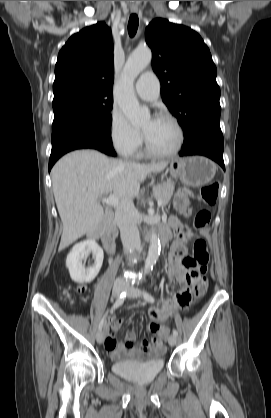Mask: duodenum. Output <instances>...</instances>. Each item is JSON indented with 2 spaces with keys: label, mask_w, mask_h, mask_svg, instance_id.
I'll list each match as a JSON object with an SVG mask.
<instances>
[{
  "label": "duodenum",
  "mask_w": 271,
  "mask_h": 418,
  "mask_svg": "<svg viewBox=\"0 0 271 418\" xmlns=\"http://www.w3.org/2000/svg\"><path fill=\"white\" fill-rule=\"evenodd\" d=\"M116 226L111 216L108 217L102 233L100 234L104 248L108 253H112L115 246ZM92 238L96 237V234H92ZM168 233L166 231L161 232L162 241H166Z\"/></svg>",
  "instance_id": "1"
}]
</instances>
